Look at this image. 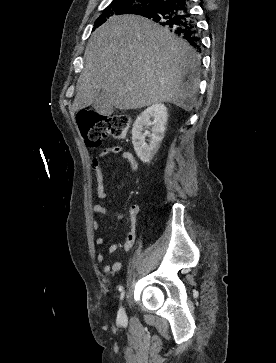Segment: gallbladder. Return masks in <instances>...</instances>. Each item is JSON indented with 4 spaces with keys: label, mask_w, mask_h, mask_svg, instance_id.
Instances as JSON below:
<instances>
[{
    "label": "gallbladder",
    "mask_w": 276,
    "mask_h": 363,
    "mask_svg": "<svg viewBox=\"0 0 276 363\" xmlns=\"http://www.w3.org/2000/svg\"><path fill=\"white\" fill-rule=\"evenodd\" d=\"M95 111L103 116H110L114 111V106L110 103V99L104 91L99 93L98 98L93 103Z\"/></svg>",
    "instance_id": "obj_1"
}]
</instances>
